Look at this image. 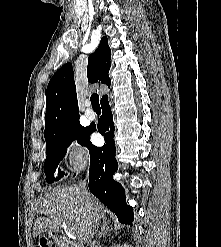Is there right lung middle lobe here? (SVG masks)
Returning a JSON list of instances; mask_svg holds the SVG:
<instances>
[{"mask_svg":"<svg viewBox=\"0 0 221 247\" xmlns=\"http://www.w3.org/2000/svg\"><path fill=\"white\" fill-rule=\"evenodd\" d=\"M76 139L83 146H87L89 141L88 127H82L79 122L69 125L56 135L45 138L47 157L45 159L44 171L48 183L54 182V172L58 164L66 155L69 145ZM63 175V172H59L56 180L62 178Z\"/></svg>","mask_w":221,"mask_h":247,"instance_id":"right-lung-middle-lobe-1","label":"right lung middle lobe"}]
</instances>
